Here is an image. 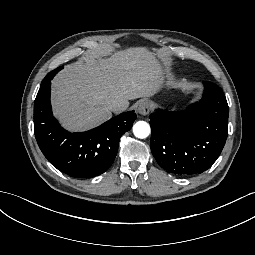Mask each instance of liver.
I'll use <instances>...</instances> for the list:
<instances>
[{
  "mask_svg": "<svg viewBox=\"0 0 255 255\" xmlns=\"http://www.w3.org/2000/svg\"><path fill=\"white\" fill-rule=\"evenodd\" d=\"M162 70L146 47H130L109 58H81L52 81L54 115L71 132L94 128L112 117L113 101L125 110L128 100L157 93Z\"/></svg>",
  "mask_w": 255,
  "mask_h": 255,
  "instance_id": "6515ba94",
  "label": "liver"
}]
</instances>
